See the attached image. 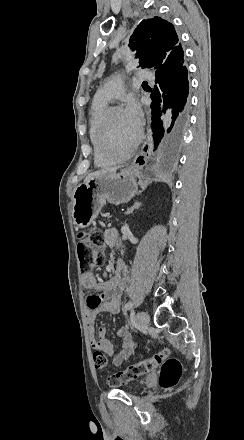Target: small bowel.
Returning a JSON list of instances; mask_svg holds the SVG:
<instances>
[{"label": "small bowel", "mask_w": 244, "mask_h": 440, "mask_svg": "<svg viewBox=\"0 0 244 440\" xmlns=\"http://www.w3.org/2000/svg\"><path fill=\"white\" fill-rule=\"evenodd\" d=\"M104 240L108 247L116 248L119 245V233L114 228L104 231ZM127 282V268L123 261H118L113 276L108 280H99L92 273L82 275L83 286L92 291L87 298V322L90 346L113 358L116 366L134 355L135 342L126 326L117 330L120 338V349L117 352L115 346L105 337V327L100 326L96 335L95 319L101 313H117L120 310V302Z\"/></svg>", "instance_id": "1"}]
</instances>
